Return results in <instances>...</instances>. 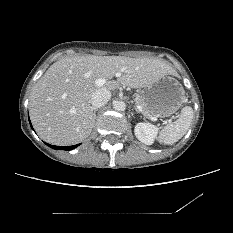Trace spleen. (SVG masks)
I'll list each match as a JSON object with an SVG mask.
<instances>
[{"label":"spleen","instance_id":"obj_1","mask_svg":"<svg viewBox=\"0 0 233 233\" xmlns=\"http://www.w3.org/2000/svg\"><path fill=\"white\" fill-rule=\"evenodd\" d=\"M192 119L193 109L190 106H185L181 110L179 118L161 130L158 141L168 145L176 143L187 133Z\"/></svg>","mask_w":233,"mask_h":233}]
</instances>
